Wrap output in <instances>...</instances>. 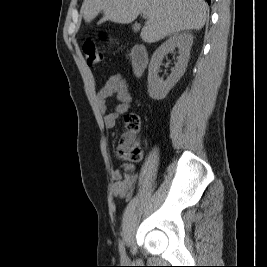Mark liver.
<instances>
[{
  "mask_svg": "<svg viewBox=\"0 0 267 267\" xmlns=\"http://www.w3.org/2000/svg\"><path fill=\"white\" fill-rule=\"evenodd\" d=\"M101 11L104 21L128 24L138 15L147 21L141 30L144 42L154 43L185 30H200L207 19L204 0H84L85 22H91Z\"/></svg>",
  "mask_w": 267,
  "mask_h": 267,
  "instance_id": "obj_1",
  "label": "liver"
}]
</instances>
